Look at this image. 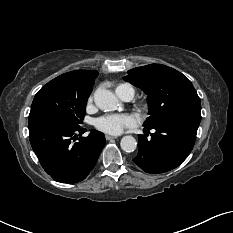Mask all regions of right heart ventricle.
Segmentation results:
<instances>
[{
  "label": "right heart ventricle",
  "mask_w": 233,
  "mask_h": 233,
  "mask_svg": "<svg viewBox=\"0 0 233 233\" xmlns=\"http://www.w3.org/2000/svg\"><path fill=\"white\" fill-rule=\"evenodd\" d=\"M127 90L134 93V89L128 84H120L116 88V93L121 97Z\"/></svg>",
  "instance_id": "1"
}]
</instances>
